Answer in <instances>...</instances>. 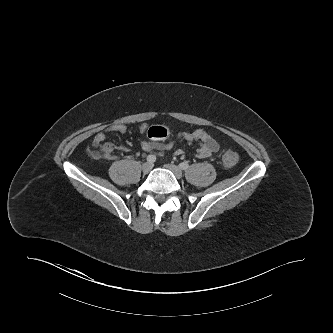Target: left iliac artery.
I'll use <instances>...</instances> for the list:
<instances>
[{
  "instance_id": "44dca946",
  "label": "left iliac artery",
  "mask_w": 333,
  "mask_h": 333,
  "mask_svg": "<svg viewBox=\"0 0 333 333\" xmlns=\"http://www.w3.org/2000/svg\"><path fill=\"white\" fill-rule=\"evenodd\" d=\"M179 166H180V168L183 169V170H186V169L189 168V164H188V162H182V163H180Z\"/></svg>"
}]
</instances>
